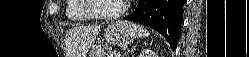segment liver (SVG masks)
<instances>
[{
    "label": "liver",
    "mask_w": 249,
    "mask_h": 57,
    "mask_svg": "<svg viewBox=\"0 0 249 57\" xmlns=\"http://www.w3.org/2000/svg\"><path fill=\"white\" fill-rule=\"evenodd\" d=\"M100 27H75L67 33L69 49L73 51L74 57H86L91 49Z\"/></svg>",
    "instance_id": "6515ba94"
}]
</instances>
